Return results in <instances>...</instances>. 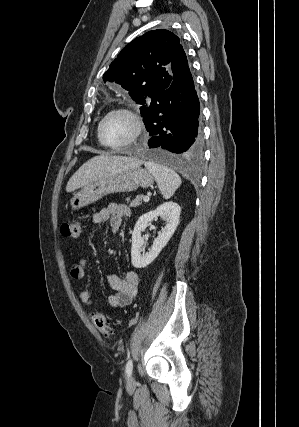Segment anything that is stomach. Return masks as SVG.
Listing matches in <instances>:
<instances>
[{
    "label": "stomach",
    "instance_id": "0dacf381",
    "mask_svg": "<svg viewBox=\"0 0 299 427\" xmlns=\"http://www.w3.org/2000/svg\"><path fill=\"white\" fill-rule=\"evenodd\" d=\"M153 183V175L143 168L125 170L84 186L71 197L70 207L72 210H79L109 194L132 192L139 187L148 188Z\"/></svg>",
    "mask_w": 299,
    "mask_h": 427
}]
</instances>
